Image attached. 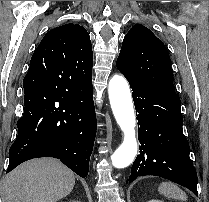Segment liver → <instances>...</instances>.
I'll return each mask as SVG.
<instances>
[{"label": "liver", "instance_id": "6515ba94", "mask_svg": "<svg viewBox=\"0 0 209 202\" xmlns=\"http://www.w3.org/2000/svg\"><path fill=\"white\" fill-rule=\"evenodd\" d=\"M74 185V173L60 161L35 159L21 164L4 178L2 202H57L69 195Z\"/></svg>", "mask_w": 209, "mask_h": 202}]
</instances>
